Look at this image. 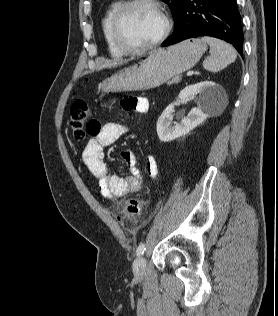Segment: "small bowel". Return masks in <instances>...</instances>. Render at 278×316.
I'll use <instances>...</instances> for the list:
<instances>
[{
  "mask_svg": "<svg viewBox=\"0 0 278 316\" xmlns=\"http://www.w3.org/2000/svg\"><path fill=\"white\" fill-rule=\"evenodd\" d=\"M126 112L143 114L148 111L149 102L146 98H126L121 102ZM130 127L122 123H107L100 125L93 138L88 141L83 152L82 160L86 168L97 181L101 195L108 200H116L130 193L138 192L142 187V175L136 166V156L132 150L121 152V157L129 173L126 176L109 173L104 160V148L117 141L128 132ZM146 170L151 179L158 176V165L153 155L146 157Z\"/></svg>",
  "mask_w": 278,
  "mask_h": 316,
  "instance_id": "obj_1",
  "label": "small bowel"
}]
</instances>
